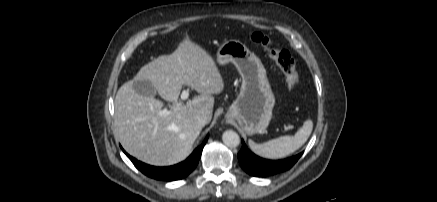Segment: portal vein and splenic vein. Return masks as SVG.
<instances>
[{
    "label": "portal vein and splenic vein",
    "instance_id": "obj_1",
    "mask_svg": "<svg viewBox=\"0 0 437 202\" xmlns=\"http://www.w3.org/2000/svg\"><path fill=\"white\" fill-rule=\"evenodd\" d=\"M189 97V91L188 90H184L181 93V99L182 100H186ZM169 114V111L167 109H163L160 111V115H167Z\"/></svg>",
    "mask_w": 437,
    "mask_h": 202
}]
</instances>
